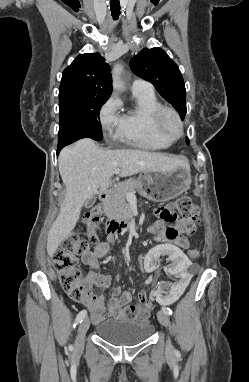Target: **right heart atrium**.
<instances>
[{
  "label": "right heart atrium",
  "instance_id": "d8ad5b80",
  "mask_svg": "<svg viewBox=\"0 0 249 382\" xmlns=\"http://www.w3.org/2000/svg\"><path fill=\"white\" fill-rule=\"evenodd\" d=\"M101 128L109 135H116L123 124L120 103L116 97H110L99 112Z\"/></svg>",
  "mask_w": 249,
  "mask_h": 382
}]
</instances>
